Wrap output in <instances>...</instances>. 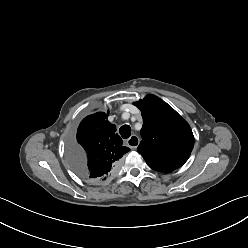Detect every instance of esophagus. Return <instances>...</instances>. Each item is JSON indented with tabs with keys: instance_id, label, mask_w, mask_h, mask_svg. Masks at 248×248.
Masks as SVG:
<instances>
[{
	"instance_id": "34e87169",
	"label": "esophagus",
	"mask_w": 248,
	"mask_h": 248,
	"mask_svg": "<svg viewBox=\"0 0 248 248\" xmlns=\"http://www.w3.org/2000/svg\"><path fill=\"white\" fill-rule=\"evenodd\" d=\"M139 138L136 135H132L128 140H127V145L131 148V149H136L137 146L139 145Z\"/></svg>"
}]
</instances>
